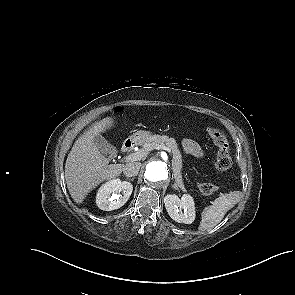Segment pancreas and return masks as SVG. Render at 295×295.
Masks as SVG:
<instances>
[{
    "instance_id": "cf45deb5",
    "label": "pancreas",
    "mask_w": 295,
    "mask_h": 295,
    "mask_svg": "<svg viewBox=\"0 0 295 295\" xmlns=\"http://www.w3.org/2000/svg\"><path fill=\"white\" fill-rule=\"evenodd\" d=\"M157 145H165L169 148L170 153L172 154V171L173 177L175 179L176 185L182 191H186L183 180H182V155L180 150L178 149V145L174 138H169L168 136H160V135H153L147 142L142 143V152H148L153 149Z\"/></svg>"
}]
</instances>
